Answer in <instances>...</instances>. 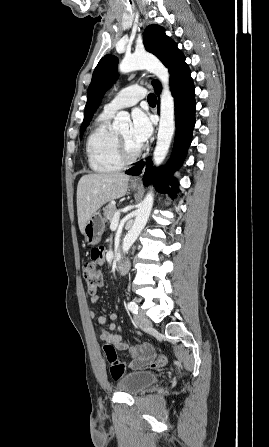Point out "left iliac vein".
<instances>
[{"mask_svg":"<svg viewBox=\"0 0 269 447\" xmlns=\"http://www.w3.org/2000/svg\"><path fill=\"white\" fill-rule=\"evenodd\" d=\"M134 320L135 323L142 328L151 327V321L145 315L135 314Z\"/></svg>","mask_w":269,"mask_h":447,"instance_id":"4c4485c4","label":"left iliac vein"}]
</instances>
